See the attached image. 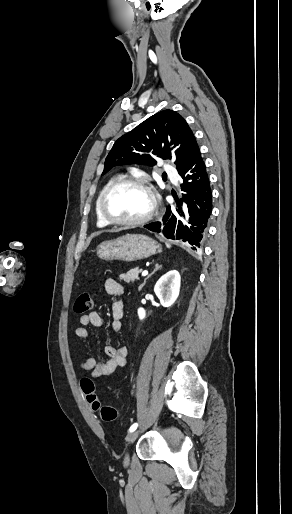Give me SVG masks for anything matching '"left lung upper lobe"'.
Listing matches in <instances>:
<instances>
[{
    "instance_id": "left-lung-upper-lobe-1",
    "label": "left lung upper lobe",
    "mask_w": 292,
    "mask_h": 514,
    "mask_svg": "<svg viewBox=\"0 0 292 514\" xmlns=\"http://www.w3.org/2000/svg\"><path fill=\"white\" fill-rule=\"evenodd\" d=\"M194 140L192 130L180 114L173 110H163L114 143L105 159L102 175L118 165L153 166L156 158L173 160L179 170Z\"/></svg>"
}]
</instances>
